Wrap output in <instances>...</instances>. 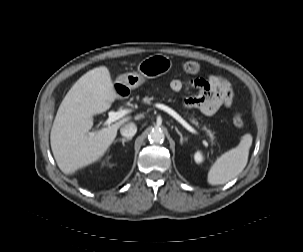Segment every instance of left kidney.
Listing matches in <instances>:
<instances>
[{
	"instance_id": "obj_1",
	"label": "left kidney",
	"mask_w": 303,
	"mask_h": 252,
	"mask_svg": "<svg viewBox=\"0 0 303 252\" xmlns=\"http://www.w3.org/2000/svg\"><path fill=\"white\" fill-rule=\"evenodd\" d=\"M194 160L196 163L200 164L203 162L204 160V157H203V154L200 152V151H197L195 154H194Z\"/></svg>"
}]
</instances>
